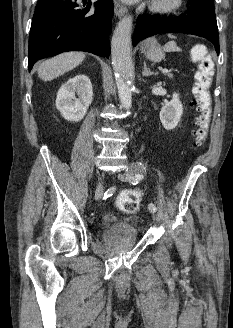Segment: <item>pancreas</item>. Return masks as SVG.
I'll list each match as a JSON object with an SVG mask.
<instances>
[{
  "label": "pancreas",
  "instance_id": "pancreas-1",
  "mask_svg": "<svg viewBox=\"0 0 233 328\" xmlns=\"http://www.w3.org/2000/svg\"><path fill=\"white\" fill-rule=\"evenodd\" d=\"M167 76H168L169 78H173V75H172V74H167Z\"/></svg>",
  "mask_w": 233,
  "mask_h": 328
}]
</instances>
